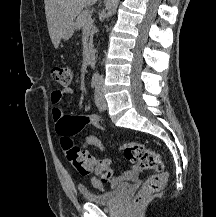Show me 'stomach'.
Returning a JSON list of instances; mask_svg holds the SVG:
<instances>
[{
    "mask_svg": "<svg viewBox=\"0 0 216 217\" xmlns=\"http://www.w3.org/2000/svg\"><path fill=\"white\" fill-rule=\"evenodd\" d=\"M74 29H75V25L72 24L70 27L67 28V30L65 31V34H64V39H69L73 33H74Z\"/></svg>",
    "mask_w": 216,
    "mask_h": 217,
    "instance_id": "1",
    "label": "stomach"
}]
</instances>
